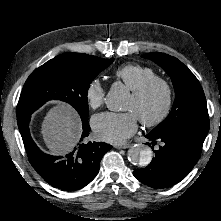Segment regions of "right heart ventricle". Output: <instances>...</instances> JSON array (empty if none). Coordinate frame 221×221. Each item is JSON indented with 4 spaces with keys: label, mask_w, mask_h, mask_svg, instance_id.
I'll return each mask as SVG.
<instances>
[{
    "label": "right heart ventricle",
    "mask_w": 221,
    "mask_h": 221,
    "mask_svg": "<svg viewBox=\"0 0 221 221\" xmlns=\"http://www.w3.org/2000/svg\"><path fill=\"white\" fill-rule=\"evenodd\" d=\"M115 76L122 80L130 90H134L147 80L156 77V73L147 66L125 64L116 69Z\"/></svg>",
    "instance_id": "e07e8e85"
}]
</instances>
